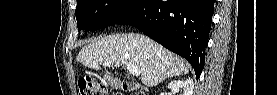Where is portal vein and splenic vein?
Wrapping results in <instances>:
<instances>
[{
	"label": "portal vein and splenic vein",
	"instance_id": "obj_1",
	"mask_svg": "<svg viewBox=\"0 0 277 95\" xmlns=\"http://www.w3.org/2000/svg\"><path fill=\"white\" fill-rule=\"evenodd\" d=\"M105 65L110 66L111 62H106ZM126 68L133 76H140L141 74V72L134 65L129 64Z\"/></svg>",
	"mask_w": 277,
	"mask_h": 95
}]
</instances>
